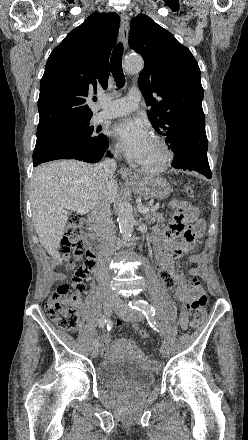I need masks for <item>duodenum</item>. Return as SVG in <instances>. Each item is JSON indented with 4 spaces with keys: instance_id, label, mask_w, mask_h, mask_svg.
I'll return each mask as SVG.
<instances>
[{
    "instance_id": "1",
    "label": "duodenum",
    "mask_w": 248,
    "mask_h": 440,
    "mask_svg": "<svg viewBox=\"0 0 248 440\" xmlns=\"http://www.w3.org/2000/svg\"><path fill=\"white\" fill-rule=\"evenodd\" d=\"M85 240L86 244L89 247V249L94 253L96 256V259L99 260L100 257V246L98 239L95 237V235L90 231V228L88 226H85Z\"/></svg>"
}]
</instances>
